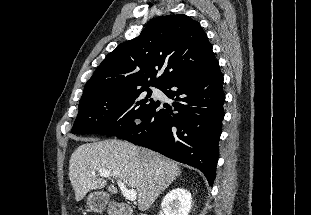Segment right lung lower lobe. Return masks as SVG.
I'll return each instance as SVG.
<instances>
[{
    "mask_svg": "<svg viewBox=\"0 0 311 215\" xmlns=\"http://www.w3.org/2000/svg\"><path fill=\"white\" fill-rule=\"evenodd\" d=\"M223 75L217 59L169 82L162 91L175 102L157 108L117 137L201 170L213 184L224 118Z\"/></svg>",
    "mask_w": 311,
    "mask_h": 215,
    "instance_id": "1",
    "label": "right lung lower lobe"
}]
</instances>
